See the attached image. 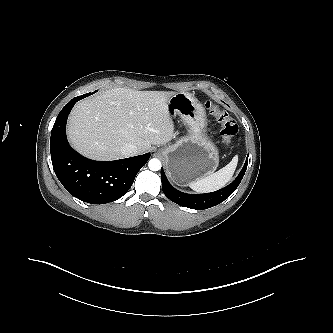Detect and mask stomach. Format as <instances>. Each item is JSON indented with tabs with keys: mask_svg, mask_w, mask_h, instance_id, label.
<instances>
[{
	"mask_svg": "<svg viewBox=\"0 0 333 333\" xmlns=\"http://www.w3.org/2000/svg\"><path fill=\"white\" fill-rule=\"evenodd\" d=\"M170 114L180 116L187 134L161 150L167 172L178 185L207 177L217 169L219 154L206 133L207 119L202 104L191 94L179 92L168 101Z\"/></svg>",
	"mask_w": 333,
	"mask_h": 333,
	"instance_id": "1",
	"label": "stomach"
}]
</instances>
